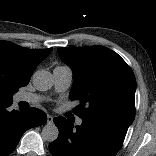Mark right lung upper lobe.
Segmentation results:
<instances>
[{
	"mask_svg": "<svg viewBox=\"0 0 156 156\" xmlns=\"http://www.w3.org/2000/svg\"><path fill=\"white\" fill-rule=\"evenodd\" d=\"M51 51L0 41V104L13 102V94L29 83L34 69Z\"/></svg>",
	"mask_w": 156,
	"mask_h": 156,
	"instance_id": "cb5924a9",
	"label": "right lung upper lobe"
}]
</instances>
